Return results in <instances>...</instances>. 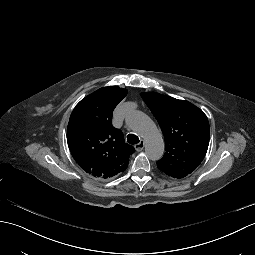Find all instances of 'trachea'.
<instances>
[{
	"label": "trachea",
	"instance_id": "obj_1",
	"mask_svg": "<svg viewBox=\"0 0 255 255\" xmlns=\"http://www.w3.org/2000/svg\"><path fill=\"white\" fill-rule=\"evenodd\" d=\"M139 138L135 134H128L127 135V142L130 144H137L139 143Z\"/></svg>",
	"mask_w": 255,
	"mask_h": 255
}]
</instances>
